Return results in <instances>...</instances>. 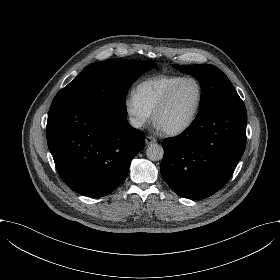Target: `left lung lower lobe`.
Listing matches in <instances>:
<instances>
[{
  "label": "left lung lower lobe",
  "instance_id": "obj_1",
  "mask_svg": "<svg viewBox=\"0 0 280 280\" xmlns=\"http://www.w3.org/2000/svg\"><path fill=\"white\" fill-rule=\"evenodd\" d=\"M247 112L241 98L199 113L179 136L163 141L161 174L179 196L200 200L221 189L246 146Z\"/></svg>",
  "mask_w": 280,
  "mask_h": 280
}]
</instances>
